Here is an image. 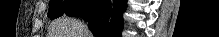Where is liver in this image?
Returning <instances> with one entry per match:
<instances>
[{"mask_svg": "<svg viewBox=\"0 0 219 37\" xmlns=\"http://www.w3.org/2000/svg\"><path fill=\"white\" fill-rule=\"evenodd\" d=\"M48 35L49 37H92L81 21L68 18L56 19Z\"/></svg>", "mask_w": 219, "mask_h": 37, "instance_id": "liver-1", "label": "liver"}]
</instances>
